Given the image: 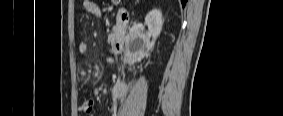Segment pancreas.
<instances>
[{
	"instance_id": "1",
	"label": "pancreas",
	"mask_w": 283,
	"mask_h": 116,
	"mask_svg": "<svg viewBox=\"0 0 283 116\" xmlns=\"http://www.w3.org/2000/svg\"><path fill=\"white\" fill-rule=\"evenodd\" d=\"M117 34H118V30L115 27V28H113V31L109 34L108 42L112 43L114 41V39L116 38Z\"/></svg>"
}]
</instances>
